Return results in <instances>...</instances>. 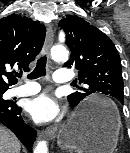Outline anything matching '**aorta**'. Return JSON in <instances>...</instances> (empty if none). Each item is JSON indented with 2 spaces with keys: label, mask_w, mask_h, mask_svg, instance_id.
<instances>
[{
  "label": "aorta",
  "mask_w": 130,
  "mask_h": 153,
  "mask_svg": "<svg viewBox=\"0 0 130 153\" xmlns=\"http://www.w3.org/2000/svg\"><path fill=\"white\" fill-rule=\"evenodd\" d=\"M51 56L54 61H67L69 52L65 47L55 46L51 50ZM34 153H48L47 142L39 141L34 149Z\"/></svg>",
  "instance_id": "aorta-1"
}]
</instances>
